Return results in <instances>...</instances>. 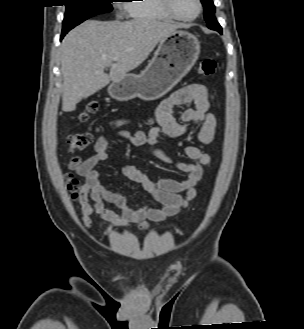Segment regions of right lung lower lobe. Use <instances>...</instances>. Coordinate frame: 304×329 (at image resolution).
<instances>
[{"label": "right lung lower lobe", "mask_w": 304, "mask_h": 329, "mask_svg": "<svg viewBox=\"0 0 304 329\" xmlns=\"http://www.w3.org/2000/svg\"><path fill=\"white\" fill-rule=\"evenodd\" d=\"M64 35H65V34H62V35H61V39L64 37Z\"/></svg>", "instance_id": "right-lung-lower-lobe-1"}]
</instances>
